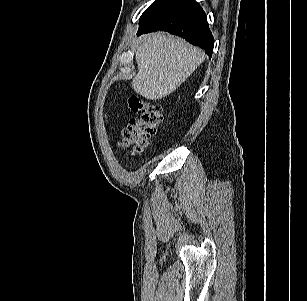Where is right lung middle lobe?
<instances>
[{"mask_svg": "<svg viewBox=\"0 0 307 301\" xmlns=\"http://www.w3.org/2000/svg\"><path fill=\"white\" fill-rule=\"evenodd\" d=\"M168 0H156L154 3H152L146 11L142 14L140 17V20L157 10L159 7H161L163 4H165Z\"/></svg>", "mask_w": 307, "mask_h": 301, "instance_id": "right-lung-middle-lobe-1", "label": "right lung middle lobe"}]
</instances>
